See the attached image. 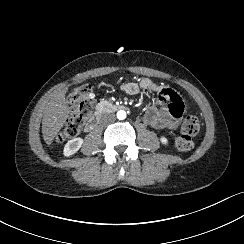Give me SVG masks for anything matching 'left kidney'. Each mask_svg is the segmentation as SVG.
<instances>
[{"mask_svg": "<svg viewBox=\"0 0 244 244\" xmlns=\"http://www.w3.org/2000/svg\"><path fill=\"white\" fill-rule=\"evenodd\" d=\"M160 141H161V143L164 144V145H167V144H168V140H167L166 137H161V138H160Z\"/></svg>", "mask_w": 244, "mask_h": 244, "instance_id": "1", "label": "left kidney"}]
</instances>
